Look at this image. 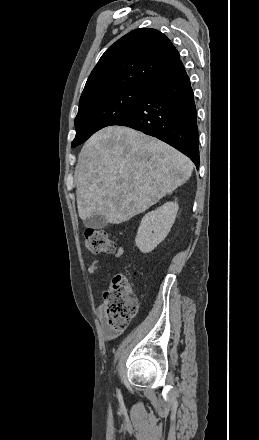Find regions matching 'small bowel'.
Segmentation results:
<instances>
[{
  "instance_id": "c3829d8e",
  "label": "small bowel",
  "mask_w": 259,
  "mask_h": 440,
  "mask_svg": "<svg viewBox=\"0 0 259 440\" xmlns=\"http://www.w3.org/2000/svg\"><path fill=\"white\" fill-rule=\"evenodd\" d=\"M125 254V250L122 246H117L115 249V258H121L122 256H124ZM101 267V261L100 260H94L92 261L89 266H88V272L90 274H94L96 273ZM97 314L98 317L100 319V323L102 326V330L105 336L106 340H112L114 338H116L117 336L120 335L121 330L119 329H115L113 327H111L107 320H106V316H105V311H104V307L103 305L98 306L97 308Z\"/></svg>"
}]
</instances>
